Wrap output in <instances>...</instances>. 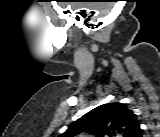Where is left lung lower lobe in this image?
Wrapping results in <instances>:
<instances>
[{
  "mask_svg": "<svg viewBox=\"0 0 160 137\" xmlns=\"http://www.w3.org/2000/svg\"><path fill=\"white\" fill-rule=\"evenodd\" d=\"M142 134V131L140 127L134 132L133 137H140Z\"/></svg>",
  "mask_w": 160,
  "mask_h": 137,
  "instance_id": "1",
  "label": "left lung lower lobe"
}]
</instances>
